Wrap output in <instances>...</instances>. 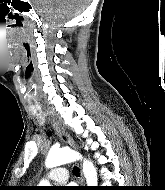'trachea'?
<instances>
[{
	"label": "trachea",
	"instance_id": "obj_1",
	"mask_svg": "<svg viewBox=\"0 0 165 190\" xmlns=\"http://www.w3.org/2000/svg\"><path fill=\"white\" fill-rule=\"evenodd\" d=\"M73 174H74L75 176H79V168H78V167H74V168H73Z\"/></svg>",
	"mask_w": 165,
	"mask_h": 190
}]
</instances>
